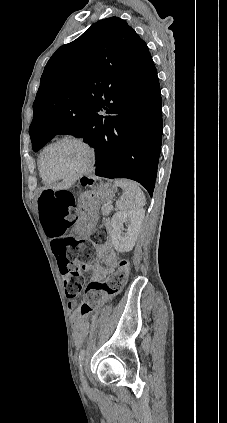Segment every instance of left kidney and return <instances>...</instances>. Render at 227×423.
Returning <instances> with one entry per match:
<instances>
[{"instance_id":"obj_1","label":"left kidney","mask_w":227,"mask_h":423,"mask_svg":"<svg viewBox=\"0 0 227 423\" xmlns=\"http://www.w3.org/2000/svg\"><path fill=\"white\" fill-rule=\"evenodd\" d=\"M144 217L145 210L116 211L112 215L111 241L117 251H131L133 249ZM124 223H127V229H125Z\"/></svg>"}]
</instances>
